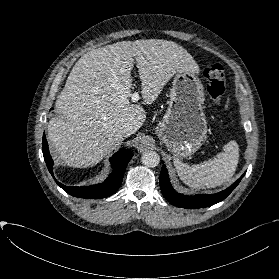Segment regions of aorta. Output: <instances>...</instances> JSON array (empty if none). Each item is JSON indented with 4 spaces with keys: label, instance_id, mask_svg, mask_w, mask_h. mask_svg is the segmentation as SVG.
Returning a JSON list of instances; mask_svg holds the SVG:
<instances>
[{
    "label": "aorta",
    "instance_id": "762f6f07",
    "mask_svg": "<svg viewBox=\"0 0 279 279\" xmlns=\"http://www.w3.org/2000/svg\"><path fill=\"white\" fill-rule=\"evenodd\" d=\"M142 163L147 167H155L160 162V157L155 151H146L141 157Z\"/></svg>",
    "mask_w": 279,
    "mask_h": 279
}]
</instances>
